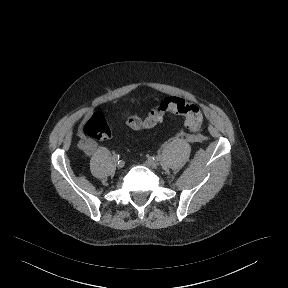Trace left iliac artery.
Listing matches in <instances>:
<instances>
[{"mask_svg": "<svg viewBox=\"0 0 288 288\" xmlns=\"http://www.w3.org/2000/svg\"><path fill=\"white\" fill-rule=\"evenodd\" d=\"M153 159L156 160V161H158V160L160 159V156H159V155H156V156L153 157Z\"/></svg>", "mask_w": 288, "mask_h": 288, "instance_id": "44dca946", "label": "left iliac artery"}]
</instances>
